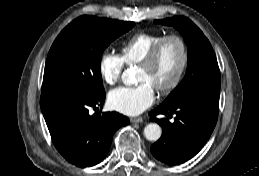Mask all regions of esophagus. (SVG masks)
<instances>
[{"instance_id": "obj_1", "label": "esophagus", "mask_w": 259, "mask_h": 176, "mask_svg": "<svg viewBox=\"0 0 259 176\" xmlns=\"http://www.w3.org/2000/svg\"><path fill=\"white\" fill-rule=\"evenodd\" d=\"M131 123H142L143 122V118L142 117H134L130 119Z\"/></svg>"}]
</instances>
